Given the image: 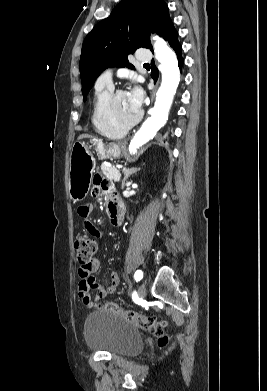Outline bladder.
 I'll list each match as a JSON object with an SVG mask.
<instances>
[{
  "mask_svg": "<svg viewBox=\"0 0 267 391\" xmlns=\"http://www.w3.org/2000/svg\"><path fill=\"white\" fill-rule=\"evenodd\" d=\"M86 346L93 351L133 356L143 347L140 331L130 322L108 311L92 312L84 325Z\"/></svg>",
  "mask_w": 267,
  "mask_h": 391,
  "instance_id": "1",
  "label": "bladder"
}]
</instances>
